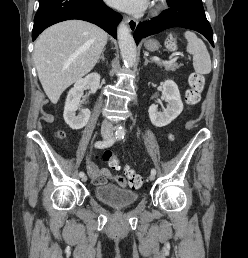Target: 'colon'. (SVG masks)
I'll return each mask as SVG.
<instances>
[{"label":"colon","mask_w":248,"mask_h":258,"mask_svg":"<svg viewBox=\"0 0 248 258\" xmlns=\"http://www.w3.org/2000/svg\"><path fill=\"white\" fill-rule=\"evenodd\" d=\"M167 47L175 51L177 48V44L175 39L171 38L167 41ZM204 77L201 73L198 72H193L189 76V88L187 89L185 93V102L188 106H194L199 103L201 99V94L204 89ZM104 160L108 163V165L111 167L112 170H119V158L110 152H107L103 156ZM87 166H93L94 162L93 161H87L86 162ZM133 161H124L123 162V167L126 168V174L129 178L130 184L134 188H139L142 183H143V178L142 176L136 174L133 171ZM89 173H94L95 169L94 168H89L88 169Z\"/></svg>","instance_id":"obj_1"}]
</instances>
